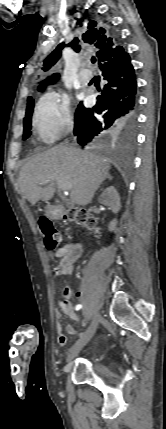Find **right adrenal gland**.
Listing matches in <instances>:
<instances>
[{
	"mask_svg": "<svg viewBox=\"0 0 166 429\" xmlns=\"http://www.w3.org/2000/svg\"><path fill=\"white\" fill-rule=\"evenodd\" d=\"M107 179H108V180H112V177L109 175V176L107 177Z\"/></svg>",
	"mask_w": 166,
	"mask_h": 429,
	"instance_id": "2a0ac1e0",
	"label": "right adrenal gland"
}]
</instances>
